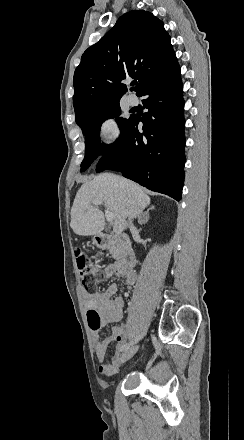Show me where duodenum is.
<instances>
[{
  "label": "duodenum",
  "instance_id": "obj_1",
  "mask_svg": "<svg viewBox=\"0 0 244 440\" xmlns=\"http://www.w3.org/2000/svg\"><path fill=\"white\" fill-rule=\"evenodd\" d=\"M94 241L102 249L116 248L120 256V262L127 269H134L136 267V254L126 236L100 233L94 237Z\"/></svg>",
  "mask_w": 244,
  "mask_h": 440
}]
</instances>
